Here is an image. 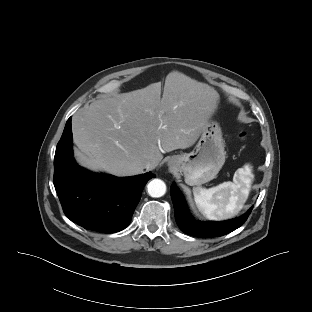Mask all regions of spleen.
<instances>
[{
  "mask_svg": "<svg viewBox=\"0 0 312 312\" xmlns=\"http://www.w3.org/2000/svg\"><path fill=\"white\" fill-rule=\"evenodd\" d=\"M248 166L239 168L233 182H223L215 187L193 189L194 200L199 211L211 220H221L234 216L244 206L250 191L251 179Z\"/></svg>",
  "mask_w": 312,
  "mask_h": 312,
  "instance_id": "1",
  "label": "spleen"
}]
</instances>
